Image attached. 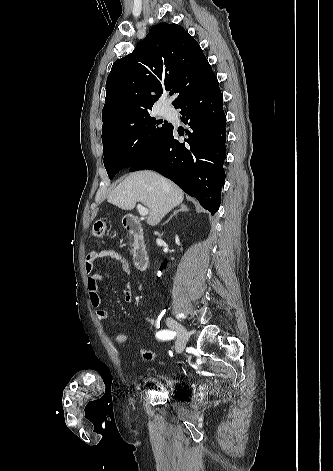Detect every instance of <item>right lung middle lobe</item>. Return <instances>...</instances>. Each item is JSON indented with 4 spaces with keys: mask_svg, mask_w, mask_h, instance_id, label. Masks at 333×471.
<instances>
[{
    "mask_svg": "<svg viewBox=\"0 0 333 471\" xmlns=\"http://www.w3.org/2000/svg\"><path fill=\"white\" fill-rule=\"evenodd\" d=\"M150 111L117 122L102 131L104 166L110 180L152 151L166 136L171 124L156 120Z\"/></svg>",
    "mask_w": 333,
    "mask_h": 471,
    "instance_id": "dd1d6c3e",
    "label": "right lung middle lobe"
}]
</instances>
